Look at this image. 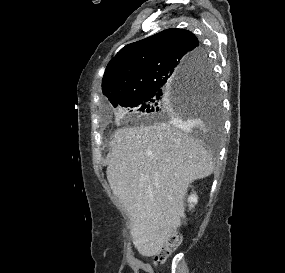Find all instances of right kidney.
<instances>
[{
    "label": "right kidney",
    "instance_id": "right-kidney-1",
    "mask_svg": "<svg viewBox=\"0 0 285 273\" xmlns=\"http://www.w3.org/2000/svg\"><path fill=\"white\" fill-rule=\"evenodd\" d=\"M197 200H198V197L196 196V194H191L189 197H188V202L190 203V207H194V204L197 203Z\"/></svg>",
    "mask_w": 285,
    "mask_h": 273
}]
</instances>
